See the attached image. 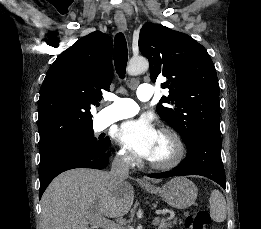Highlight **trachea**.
Segmentation results:
<instances>
[{
    "label": "trachea",
    "mask_w": 261,
    "mask_h": 229,
    "mask_svg": "<svg viewBox=\"0 0 261 229\" xmlns=\"http://www.w3.org/2000/svg\"><path fill=\"white\" fill-rule=\"evenodd\" d=\"M127 61L128 49L125 36L123 33H117L114 40V64L115 70L122 80L125 78Z\"/></svg>",
    "instance_id": "obj_1"
}]
</instances>
